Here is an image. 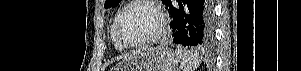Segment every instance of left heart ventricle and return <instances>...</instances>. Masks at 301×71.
<instances>
[{
    "instance_id": "1",
    "label": "left heart ventricle",
    "mask_w": 301,
    "mask_h": 71,
    "mask_svg": "<svg viewBox=\"0 0 301 71\" xmlns=\"http://www.w3.org/2000/svg\"><path fill=\"white\" fill-rule=\"evenodd\" d=\"M158 25V16L151 8L136 5L124 13L120 23V32L125 41L134 43L152 35Z\"/></svg>"
}]
</instances>
